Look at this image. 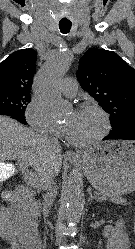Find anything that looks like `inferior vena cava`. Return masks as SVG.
Here are the masks:
<instances>
[{"label":"inferior vena cava","instance_id":"602c4592","mask_svg":"<svg viewBox=\"0 0 135 249\" xmlns=\"http://www.w3.org/2000/svg\"><path fill=\"white\" fill-rule=\"evenodd\" d=\"M49 144H51L55 149L59 150L61 149L59 142L55 138H45ZM40 187L42 190L47 191L43 195V211L44 214L47 215L49 213V209L51 207V204L53 202V197L56 195V186L54 182V176L47 174L43 177H41V184Z\"/></svg>","mask_w":135,"mask_h":249}]
</instances>
